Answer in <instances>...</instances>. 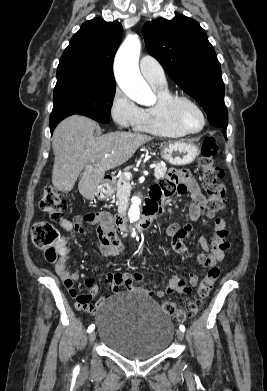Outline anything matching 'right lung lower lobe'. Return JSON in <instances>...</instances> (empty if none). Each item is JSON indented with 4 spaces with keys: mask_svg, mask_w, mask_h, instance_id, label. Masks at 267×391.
Returning a JSON list of instances; mask_svg holds the SVG:
<instances>
[{
    "mask_svg": "<svg viewBox=\"0 0 267 391\" xmlns=\"http://www.w3.org/2000/svg\"><path fill=\"white\" fill-rule=\"evenodd\" d=\"M63 119H64V118H61V119H58V120H56V121L50 122V130H51V133H53V131H54L55 127L57 126V124H58L61 120H63Z\"/></svg>",
    "mask_w": 267,
    "mask_h": 391,
    "instance_id": "1",
    "label": "right lung lower lobe"
}]
</instances>
